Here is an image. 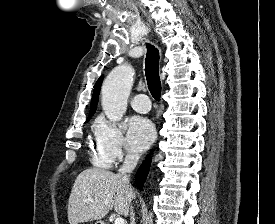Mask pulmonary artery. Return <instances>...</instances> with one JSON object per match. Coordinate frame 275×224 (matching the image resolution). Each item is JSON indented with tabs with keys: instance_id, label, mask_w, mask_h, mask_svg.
Masks as SVG:
<instances>
[{
	"instance_id": "e3ab8cb5",
	"label": "pulmonary artery",
	"mask_w": 275,
	"mask_h": 224,
	"mask_svg": "<svg viewBox=\"0 0 275 224\" xmlns=\"http://www.w3.org/2000/svg\"><path fill=\"white\" fill-rule=\"evenodd\" d=\"M131 105L133 109L139 113H147L151 107L150 99L145 94L136 95L132 99Z\"/></svg>"
}]
</instances>
